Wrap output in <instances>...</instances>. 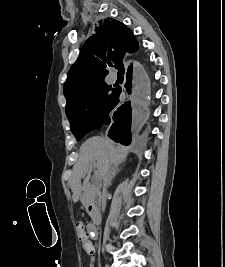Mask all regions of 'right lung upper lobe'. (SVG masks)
<instances>
[{
	"label": "right lung upper lobe",
	"mask_w": 225,
	"mask_h": 267,
	"mask_svg": "<svg viewBox=\"0 0 225 267\" xmlns=\"http://www.w3.org/2000/svg\"><path fill=\"white\" fill-rule=\"evenodd\" d=\"M138 42L132 31L120 21L105 19L87 39L72 65L63 87L66 101L74 99L87 87L105 82L109 67L123 72L130 53Z\"/></svg>",
	"instance_id": "1"
}]
</instances>
